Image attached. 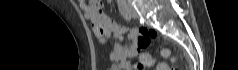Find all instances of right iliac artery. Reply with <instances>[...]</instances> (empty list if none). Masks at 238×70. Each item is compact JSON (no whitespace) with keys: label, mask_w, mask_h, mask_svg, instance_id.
Instances as JSON below:
<instances>
[{"label":"right iliac artery","mask_w":238,"mask_h":70,"mask_svg":"<svg viewBox=\"0 0 238 70\" xmlns=\"http://www.w3.org/2000/svg\"><path fill=\"white\" fill-rule=\"evenodd\" d=\"M118 7L123 18L126 20H130L131 16L123 0H118Z\"/></svg>","instance_id":"right-iliac-artery-1"}]
</instances>
